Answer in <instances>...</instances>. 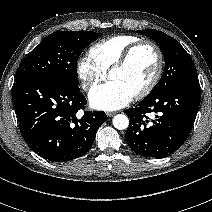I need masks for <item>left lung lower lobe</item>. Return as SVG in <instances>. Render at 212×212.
Wrapping results in <instances>:
<instances>
[{"label":"left lung lower lobe","instance_id":"0a47b994","mask_svg":"<svg viewBox=\"0 0 212 212\" xmlns=\"http://www.w3.org/2000/svg\"><path fill=\"white\" fill-rule=\"evenodd\" d=\"M197 76L183 79L155 93H149L135 108L124 112L130 118L125 140L137 154L164 158L178 150L188 138L199 105ZM148 113H154L150 121Z\"/></svg>","mask_w":212,"mask_h":212}]
</instances>
